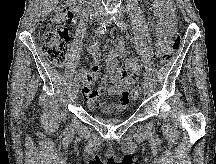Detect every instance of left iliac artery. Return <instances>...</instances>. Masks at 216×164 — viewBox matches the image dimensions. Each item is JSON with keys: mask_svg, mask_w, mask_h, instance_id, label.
Wrapping results in <instances>:
<instances>
[{"mask_svg": "<svg viewBox=\"0 0 216 164\" xmlns=\"http://www.w3.org/2000/svg\"><path fill=\"white\" fill-rule=\"evenodd\" d=\"M115 24L123 31L127 30V24L125 23V21L122 18H116L114 19ZM142 76L144 77V81H148V76L146 72L142 73Z\"/></svg>", "mask_w": 216, "mask_h": 164, "instance_id": "44dca946", "label": "left iliac artery"}]
</instances>
